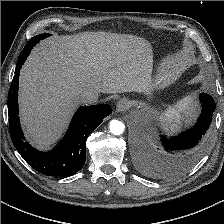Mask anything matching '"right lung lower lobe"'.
<instances>
[{
	"mask_svg": "<svg viewBox=\"0 0 224 224\" xmlns=\"http://www.w3.org/2000/svg\"><path fill=\"white\" fill-rule=\"evenodd\" d=\"M35 45L28 42L22 50L8 93L9 130L12 142L23 159L38 172L47 176L68 177L78 172L86 160V140L112 110L108 104L80 107L69 129L50 152L33 148L26 140L18 117V79L20 69Z\"/></svg>",
	"mask_w": 224,
	"mask_h": 224,
	"instance_id": "98d812e1",
	"label": "right lung lower lobe"
}]
</instances>
